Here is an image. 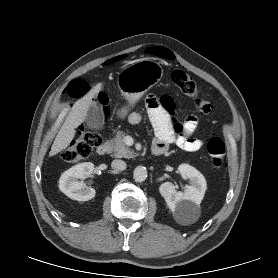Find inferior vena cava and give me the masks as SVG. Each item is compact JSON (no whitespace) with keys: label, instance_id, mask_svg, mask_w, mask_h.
Here are the masks:
<instances>
[{"label":"inferior vena cava","instance_id":"602c4592","mask_svg":"<svg viewBox=\"0 0 278 278\" xmlns=\"http://www.w3.org/2000/svg\"><path fill=\"white\" fill-rule=\"evenodd\" d=\"M111 166L113 169L122 171V170L126 169L127 165H126L125 161L116 159V160L112 161Z\"/></svg>","mask_w":278,"mask_h":278}]
</instances>
